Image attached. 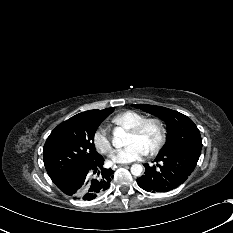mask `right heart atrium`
<instances>
[{
    "label": "right heart atrium",
    "mask_w": 233,
    "mask_h": 233,
    "mask_svg": "<svg viewBox=\"0 0 233 233\" xmlns=\"http://www.w3.org/2000/svg\"><path fill=\"white\" fill-rule=\"evenodd\" d=\"M93 143L96 149L103 154L112 150L111 138L104 128H99L94 132Z\"/></svg>",
    "instance_id": "obj_1"
}]
</instances>
